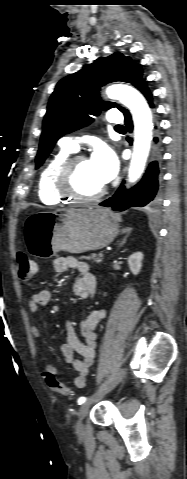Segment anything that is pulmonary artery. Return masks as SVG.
<instances>
[{"mask_svg": "<svg viewBox=\"0 0 187 479\" xmlns=\"http://www.w3.org/2000/svg\"><path fill=\"white\" fill-rule=\"evenodd\" d=\"M106 118H107L108 123H110L111 125H114V126L121 125V123L123 121L121 113L116 109H111L108 112ZM59 143H60L61 146H64V147H66V148H68L72 151H76L77 148H78V142H77L76 138H74V137H69V136L62 137L60 139Z\"/></svg>", "mask_w": 187, "mask_h": 479, "instance_id": "1", "label": "pulmonary artery"}]
</instances>
